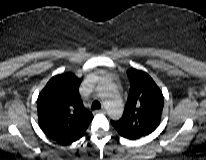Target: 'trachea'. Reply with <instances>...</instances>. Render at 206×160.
Listing matches in <instances>:
<instances>
[{
	"mask_svg": "<svg viewBox=\"0 0 206 160\" xmlns=\"http://www.w3.org/2000/svg\"><path fill=\"white\" fill-rule=\"evenodd\" d=\"M92 109H100L101 108V104L98 101H93L92 105H91Z\"/></svg>",
	"mask_w": 206,
	"mask_h": 160,
	"instance_id": "3493384b",
	"label": "trachea"
}]
</instances>
